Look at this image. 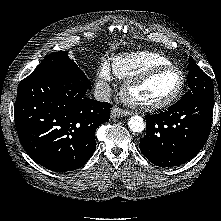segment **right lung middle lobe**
Returning <instances> with one entry per match:
<instances>
[{
  "label": "right lung middle lobe",
  "mask_w": 221,
  "mask_h": 221,
  "mask_svg": "<svg viewBox=\"0 0 221 221\" xmlns=\"http://www.w3.org/2000/svg\"><path fill=\"white\" fill-rule=\"evenodd\" d=\"M47 74L73 75L90 83L84 72L68 56V51H60L46 56L36 69L25 79H33Z\"/></svg>",
  "instance_id": "dd1d6c3e"
}]
</instances>
